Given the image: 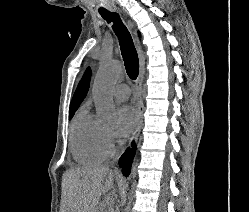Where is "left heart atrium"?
<instances>
[{"mask_svg": "<svg viewBox=\"0 0 249 212\" xmlns=\"http://www.w3.org/2000/svg\"><path fill=\"white\" fill-rule=\"evenodd\" d=\"M137 122L135 109L130 105H123L116 111L114 136L118 141L124 140L132 132Z\"/></svg>", "mask_w": 249, "mask_h": 212, "instance_id": "obj_1", "label": "left heart atrium"}]
</instances>
